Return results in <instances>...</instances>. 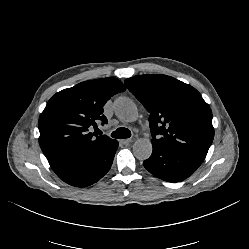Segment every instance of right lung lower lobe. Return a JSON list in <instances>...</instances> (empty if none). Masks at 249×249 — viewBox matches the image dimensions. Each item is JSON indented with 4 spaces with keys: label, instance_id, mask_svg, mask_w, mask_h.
<instances>
[{
    "label": "right lung lower lobe",
    "instance_id": "right-lung-lower-lobe-1",
    "mask_svg": "<svg viewBox=\"0 0 249 249\" xmlns=\"http://www.w3.org/2000/svg\"><path fill=\"white\" fill-rule=\"evenodd\" d=\"M117 148L118 141L113 140L92 157L57 175L72 186L92 185L109 171Z\"/></svg>",
    "mask_w": 249,
    "mask_h": 249
}]
</instances>
